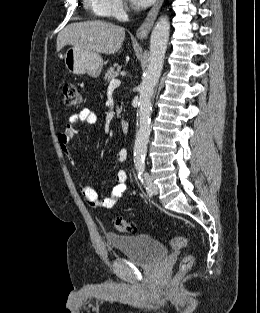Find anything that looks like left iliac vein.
Wrapping results in <instances>:
<instances>
[{
  "label": "left iliac vein",
  "instance_id": "1",
  "mask_svg": "<svg viewBox=\"0 0 260 313\" xmlns=\"http://www.w3.org/2000/svg\"><path fill=\"white\" fill-rule=\"evenodd\" d=\"M144 178L147 184L149 194L150 195L158 194V186L153 182L152 177L148 173H145Z\"/></svg>",
  "mask_w": 260,
  "mask_h": 313
}]
</instances>
